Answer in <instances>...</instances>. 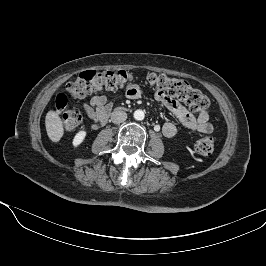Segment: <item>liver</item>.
Returning <instances> with one entry per match:
<instances>
[{"mask_svg":"<svg viewBox=\"0 0 266 266\" xmlns=\"http://www.w3.org/2000/svg\"><path fill=\"white\" fill-rule=\"evenodd\" d=\"M45 126L47 135L52 142H58L62 138L64 134L63 122L55 111L50 110L46 114Z\"/></svg>","mask_w":266,"mask_h":266,"instance_id":"6515ba94","label":"liver"}]
</instances>
